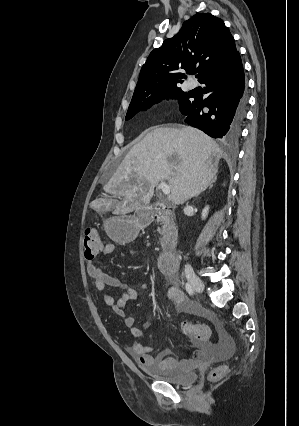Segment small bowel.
<instances>
[{"label":"small bowel","instance_id":"obj_1","mask_svg":"<svg viewBox=\"0 0 299 426\" xmlns=\"http://www.w3.org/2000/svg\"><path fill=\"white\" fill-rule=\"evenodd\" d=\"M114 250L115 245L108 243L103 245L99 255L107 256L113 253ZM87 272L96 289L102 292L104 303L124 319V324L129 328L134 338H140L143 335V331L136 326L135 318L127 315L125 312V306L128 302L138 300L139 292L134 288H127L121 296L116 299L107 288L120 287L121 282L118 278L105 273L96 264L95 260L87 263ZM167 296L174 303L178 312L184 313L195 310L194 306L186 300L182 291L175 284L168 288ZM207 316L210 317L209 315ZM191 346L194 348L192 358L183 359L181 361L177 360L167 348L160 350L153 356L151 354L153 348L140 342L133 343L130 348V354L141 366H155L161 369L180 368L183 370H191L199 365L207 364L218 352L216 345L208 341H196L193 339L191 341Z\"/></svg>","mask_w":299,"mask_h":426}]
</instances>
